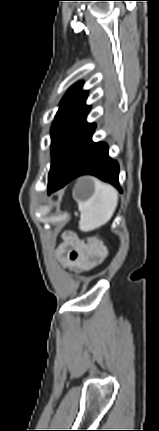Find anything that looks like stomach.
Masks as SVG:
<instances>
[{
    "instance_id": "stomach-1",
    "label": "stomach",
    "mask_w": 159,
    "mask_h": 431,
    "mask_svg": "<svg viewBox=\"0 0 159 431\" xmlns=\"http://www.w3.org/2000/svg\"><path fill=\"white\" fill-rule=\"evenodd\" d=\"M95 191V180L91 177L80 178L73 190V196L77 202L89 200Z\"/></svg>"
}]
</instances>
